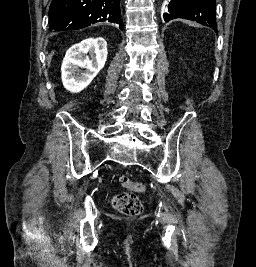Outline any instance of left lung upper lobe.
<instances>
[{"mask_svg":"<svg viewBox=\"0 0 256 267\" xmlns=\"http://www.w3.org/2000/svg\"><path fill=\"white\" fill-rule=\"evenodd\" d=\"M216 0H171L164 20L168 22L175 18H185L206 25L217 33L215 16Z\"/></svg>","mask_w":256,"mask_h":267,"instance_id":"1","label":"left lung upper lobe"}]
</instances>
